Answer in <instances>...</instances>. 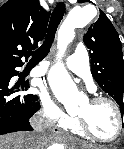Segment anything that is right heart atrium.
<instances>
[{"instance_id":"right-heart-atrium-1","label":"right heart atrium","mask_w":124,"mask_h":149,"mask_svg":"<svg viewBox=\"0 0 124 149\" xmlns=\"http://www.w3.org/2000/svg\"><path fill=\"white\" fill-rule=\"evenodd\" d=\"M42 114L52 120H56L62 127H67L75 121L74 118L65 114L62 109L50 99L43 101Z\"/></svg>"}]
</instances>
